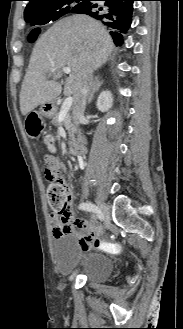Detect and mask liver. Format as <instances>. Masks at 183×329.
Instances as JSON below:
<instances>
[{
	"label": "liver",
	"mask_w": 183,
	"mask_h": 329,
	"mask_svg": "<svg viewBox=\"0 0 183 329\" xmlns=\"http://www.w3.org/2000/svg\"><path fill=\"white\" fill-rule=\"evenodd\" d=\"M114 48L106 28L87 15H73L57 21L37 41L21 91L20 110L27 115L37 106L56 100L62 87V68L70 67L64 94H75L85 65L99 69ZM55 72H51V69ZM52 76L48 81L46 75Z\"/></svg>",
	"instance_id": "1"
}]
</instances>
